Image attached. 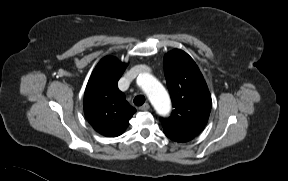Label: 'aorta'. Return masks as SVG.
<instances>
[{
  "label": "aorta",
  "mask_w": 288,
  "mask_h": 181,
  "mask_svg": "<svg viewBox=\"0 0 288 181\" xmlns=\"http://www.w3.org/2000/svg\"><path fill=\"white\" fill-rule=\"evenodd\" d=\"M138 81L149 100L159 112L167 111L170 107V99L161 83L152 75L143 73Z\"/></svg>",
  "instance_id": "1"
}]
</instances>
